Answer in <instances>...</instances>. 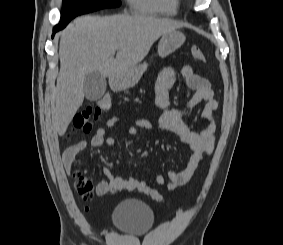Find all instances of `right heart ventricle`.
<instances>
[{
  "instance_id": "1",
  "label": "right heart ventricle",
  "mask_w": 283,
  "mask_h": 245,
  "mask_svg": "<svg viewBox=\"0 0 283 245\" xmlns=\"http://www.w3.org/2000/svg\"><path fill=\"white\" fill-rule=\"evenodd\" d=\"M136 12L162 16H173L179 8V0H127Z\"/></svg>"
}]
</instances>
